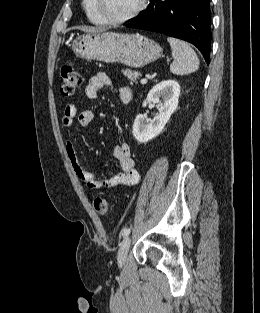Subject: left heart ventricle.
Masks as SVG:
<instances>
[{
  "label": "left heart ventricle",
  "mask_w": 260,
  "mask_h": 313,
  "mask_svg": "<svg viewBox=\"0 0 260 313\" xmlns=\"http://www.w3.org/2000/svg\"><path fill=\"white\" fill-rule=\"evenodd\" d=\"M138 0H102V7L107 16L120 18L130 13Z\"/></svg>",
  "instance_id": "left-heart-ventricle-1"
}]
</instances>
